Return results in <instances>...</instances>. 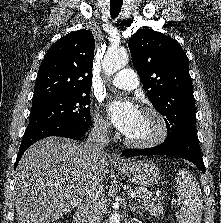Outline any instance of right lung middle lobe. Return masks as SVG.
I'll return each mask as SVG.
<instances>
[{
  "label": "right lung middle lobe",
  "instance_id": "dd1d6c3e",
  "mask_svg": "<svg viewBox=\"0 0 221 223\" xmlns=\"http://www.w3.org/2000/svg\"><path fill=\"white\" fill-rule=\"evenodd\" d=\"M89 92L47 97L32 102L27 129L62 122L75 126H90L92 121Z\"/></svg>",
  "mask_w": 221,
  "mask_h": 223
}]
</instances>
